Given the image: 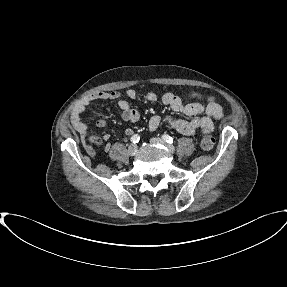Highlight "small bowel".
I'll list each match as a JSON object with an SVG mask.
<instances>
[{
    "instance_id": "obj_1",
    "label": "small bowel",
    "mask_w": 287,
    "mask_h": 287,
    "mask_svg": "<svg viewBox=\"0 0 287 287\" xmlns=\"http://www.w3.org/2000/svg\"><path fill=\"white\" fill-rule=\"evenodd\" d=\"M126 96L129 99H135L137 93L133 89L126 91ZM120 93L117 91L110 92H95L85 98H83L73 109L71 115V123L75 130L82 136H85L88 132L87 124L82 120V114L86 107L94 100H118ZM147 102H155L157 100V94L150 91L144 96ZM161 100L164 104L170 106V108L178 113H182L189 116V120L174 119L167 117L165 121L181 134L187 136H193L196 134H209L214 130V120L220 119L223 116L221 106L212 97H202L197 93H189L184 96H178L171 92H165L161 95ZM119 109L121 111V118L127 122L138 121L140 114L138 110L132 107L128 100H119ZM163 119L154 115L149 119L148 127L151 131L157 130ZM98 127H104L106 125V119L104 117L98 118L96 121ZM125 134L130 136L133 133L131 128L125 129ZM110 133H106L102 137V142L106 148L109 147L108 140L110 139ZM89 152L92 150L88 148Z\"/></svg>"
}]
</instances>
